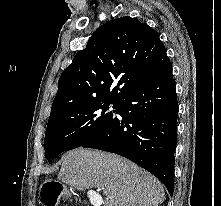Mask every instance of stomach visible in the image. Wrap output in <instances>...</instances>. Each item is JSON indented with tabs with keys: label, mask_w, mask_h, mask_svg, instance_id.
I'll return each instance as SVG.
<instances>
[{
	"label": "stomach",
	"mask_w": 221,
	"mask_h": 206,
	"mask_svg": "<svg viewBox=\"0 0 221 206\" xmlns=\"http://www.w3.org/2000/svg\"><path fill=\"white\" fill-rule=\"evenodd\" d=\"M69 196L70 192L64 184L55 183L53 194L49 197H45V195L42 194L41 202L44 204L43 206H46L45 204H49V202H51L52 204H56L61 199H66Z\"/></svg>",
	"instance_id": "obj_1"
}]
</instances>
